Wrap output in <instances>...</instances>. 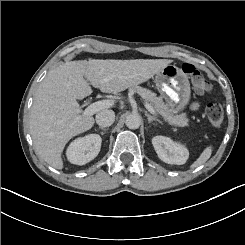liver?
<instances>
[{"instance_id":"6515ba94","label":"liver","mask_w":245,"mask_h":245,"mask_svg":"<svg viewBox=\"0 0 245 245\" xmlns=\"http://www.w3.org/2000/svg\"><path fill=\"white\" fill-rule=\"evenodd\" d=\"M166 59L79 60L50 70L41 82L31 108L29 128L37 154L50 166L63 168L61 153L74 136L92 128L77 102L92 93H118L141 84L171 63Z\"/></svg>"}]
</instances>
